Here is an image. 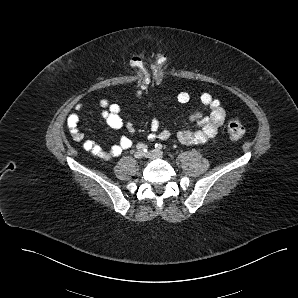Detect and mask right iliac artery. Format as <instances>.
<instances>
[{"label": "right iliac artery", "mask_w": 298, "mask_h": 298, "mask_svg": "<svg viewBox=\"0 0 298 298\" xmlns=\"http://www.w3.org/2000/svg\"><path fill=\"white\" fill-rule=\"evenodd\" d=\"M136 148H137V149H141V150L144 151V152H146L147 149H148L147 145H145V144H143V143H138V144L136 145Z\"/></svg>", "instance_id": "82829eb1"}]
</instances>
